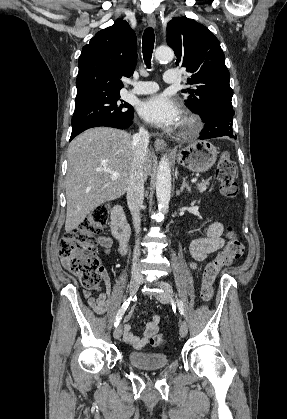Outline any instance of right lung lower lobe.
I'll return each instance as SVG.
<instances>
[{"label": "right lung lower lobe", "mask_w": 287, "mask_h": 419, "mask_svg": "<svg viewBox=\"0 0 287 419\" xmlns=\"http://www.w3.org/2000/svg\"><path fill=\"white\" fill-rule=\"evenodd\" d=\"M132 119L128 120V121H115V120H96V121H92L90 123H87V124L81 126L76 131L72 132L70 140H72L75 136H77L81 132H83V131H85L89 128H93V127L106 126V127H113V128H118V129H126L132 124Z\"/></svg>", "instance_id": "right-lung-lower-lobe-1"}]
</instances>
